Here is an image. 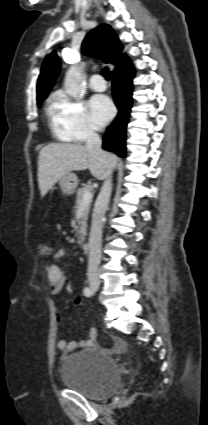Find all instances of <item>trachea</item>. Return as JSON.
<instances>
[{
  "instance_id": "1",
  "label": "trachea",
  "mask_w": 208,
  "mask_h": 425,
  "mask_svg": "<svg viewBox=\"0 0 208 425\" xmlns=\"http://www.w3.org/2000/svg\"><path fill=\"white\" fill-rule=\"evenodd\" d=\"M101 74L105 77V79H110V73L107 67L103 68L101 71Z\"/></svg>"
}]
</instances>
